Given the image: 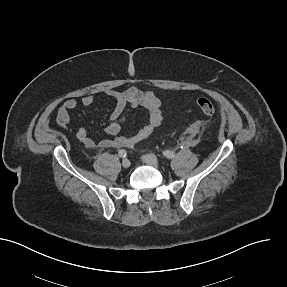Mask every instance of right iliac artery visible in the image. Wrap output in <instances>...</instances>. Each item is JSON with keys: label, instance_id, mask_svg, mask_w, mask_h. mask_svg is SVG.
<instances>
[{"label": "right iliac artery", "instance_id": "82829eb1", "mask_svg": "<svg viewBox=\"0 0 287 287\" xmlns=\"http://www.w3.org/2000/svg\"><path fill=\"white\" fill-rule=\"evenodd\" d=\"M118 154H119L120 157L124 158V157H126L127 152H126V150L122 149V150L119 151Z\"/></svg>", "mask_w": 287, "mask_h": 287}]
</instances>
